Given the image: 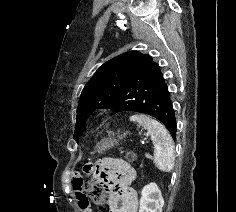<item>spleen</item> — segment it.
I'll list each match as a JSON object with an SVG mask.
<instances>
[{
  "instance_id": "3e777b00",
  "label": "spleen",
  "mask_w": 236,
  "mask_h": 212,
  "mask_svg": "<svg viewBox=\"0 0 236 212\" xmlns=\"http://www.w3.org/2000/svg\"><path fill=\"white\" fill-rule=\"evenodd\" d=\"M141 125L151 137L154 145V163L158 169L170 172L175 161V151L172 138L167 129L157 120L147 115L136 114L130 117Z\"/></svg>"
}]
</instances>
